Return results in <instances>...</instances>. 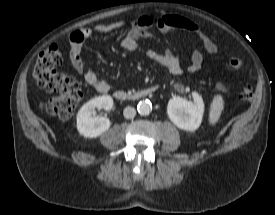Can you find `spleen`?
<instances>
[{
  "label": "spleen",
  "instance_id": "obj_1",
  "mask_svg": "<svg viewBox=\"0 0 275 215\" xmlns=\"http://www.w3.org/2000/svg\"><path fill=\"white\" fill-rule=\"evenodd\" d=\"M222 109H223V99L221 96H217L213 100L212 108L210 112V119L212 123H215L219 119Z\"/></svg>",
  "mask_w": 275,
  "mask_h": 215
}]
</instances>
